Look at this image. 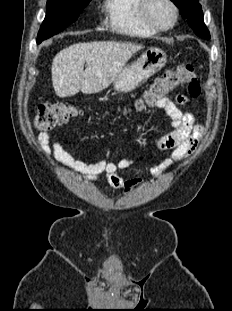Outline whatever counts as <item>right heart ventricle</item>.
Returning <instances> with one entry per match:
<instances>
[{
	"label": "right heart ventricle",
	"mask_w": 232,
	"mask_h": 311,
	"mask_svg": "<svg viewBox=\"0 0 232 311\" xmlns=\"http://www.w3.org/2000/svg\"><path fill=\"white\" fill-rule=\"evenodd\" d=\"M140 0H105L107 25L114 31L132 37H148L156 31L146 26L138 13Z\"/></svg>",
	"instance_id": "e07e8e85"
}]
</instances>
